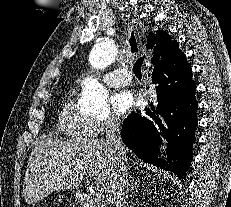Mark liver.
Wrapping results in <instances>:
<instances>
[{
	"mask_svg": "<svg viewBox=\"0 0 231 207\" xmlns=\"http://www.w3.org/2000/svg\"><path fill=\"white\" fill-rule=\"evenodd\" d=\"M126 154L129 150L125 148ZM131 160L126 156V163ZM120 158L98 138H47L32 150L25 172L23 194L27 203L44 199L53 191L78 189L84 174L113 202V185Z\"/></svg>",
	"mask_w": 231,
	"mask_h": 207,
	"instance_id": "obj_1",
	"label": "liver"
}]
</instances>
